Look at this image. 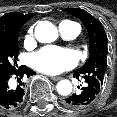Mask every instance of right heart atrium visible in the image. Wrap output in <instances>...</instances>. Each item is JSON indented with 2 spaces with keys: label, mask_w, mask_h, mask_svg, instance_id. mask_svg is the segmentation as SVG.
<instances>
[{
  "label": "right heart atrium",
  "mask_w": 117,
  "mask_h": 117,
  "mask_svg": "<svg viewBox=\"0 0 117 117\" xmlns=\"http://www.w3.org/2000/svg\"><path fill=\"white\" fill-rule=\"evenodd\" d=\"M24 42L26 45L30 44L32 42V29H30L25 36Z\"/></svg>",
  "instance_id": "obj_1"
}]
</instances>
